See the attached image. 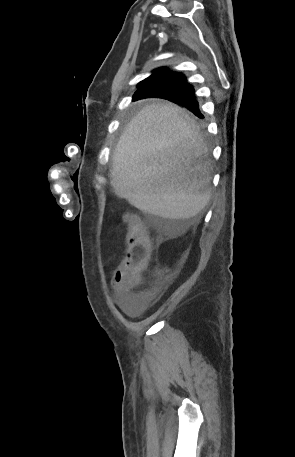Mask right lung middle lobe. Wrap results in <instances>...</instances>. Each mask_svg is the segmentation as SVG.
<instances>
[{"label":"right lung middle lobe","instance_id":"1","mask_svg":"<svg viewBox=\"0 0 295 457\" xmlns=\"http://www.w3.org/2000/svg\"><path fill=\"white\" fill-rule=\"evenodd\" d=\"M176 94L178 93L173 89H163L157 91V96H159L160 98H170L171 96H174Z\"/></svg>","mask_w":295,"mask_h":457}]
</instances>
